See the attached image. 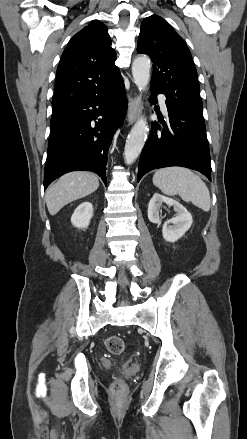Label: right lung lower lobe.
I'll return each instance as SVG.
<instances>
[{
  "instance_id": "obj_1",
  "label": "right lung lower lobe",
  "mask_w": 247,
  "mask_h": 439,
  "mask_svg": "<svg viewBox=\"0 0 247 439\" xmlns=\"http://www.w3.org/2000/svg\"><path fill=\"white\" fill-rule=\"evenodd\" d=\"M126 110L127 98L121 79L106 93L52 114L44 190L61 175L78 170L95 172L107 185L108 149ZM98 116L102 118L95 121Z\"/></svg>"
}]
</instances>
